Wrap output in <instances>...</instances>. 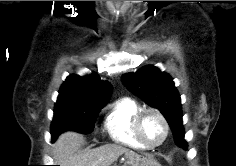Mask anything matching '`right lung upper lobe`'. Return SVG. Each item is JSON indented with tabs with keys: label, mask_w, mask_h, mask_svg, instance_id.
<instances>
[{
	"label": "right lung upper lobe",
	"mask_w": 236,
	"mask_h": 166,
	"mask_svg": "<svg viewBox=\"0 0 236 166\" xmlns=\"http://www.w3.org/2000/svg\"><path fill=\"white\" fill-rule=\"evenodd\" d=\"M112 93V85L101 80L96 73L87 76L69 75L62 84L57 103L71 102L105 106Z\"/></svg>",
	"instance_id": "cb5924a9"
}]
</instances>
